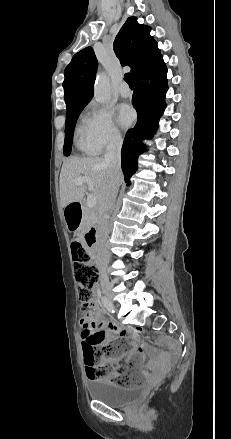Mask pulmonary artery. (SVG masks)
Masks as SVG:
<instances>
[{
  "label": "pulmonary artery",
  "instance_id": "pulmonary-artery-1",
  "mask_svg": "<svg viewBox=\"0 0 231 439\" xmlns=\"http://www.w3.org/2000/svg\"><path fill=\"white\" fill-rule=\"evenodd\" d=\"M119 92L122 97H128L131 94L130 88L125 83L120 86Z\"/></svg>",
  "mask_w": 231,
  "mask_h": 439
}]
</instances>
